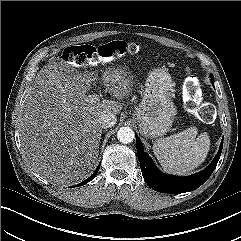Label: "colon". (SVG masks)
Here are the masks:
<instances>
[{"instance_id": "colon-1", "label": "colon", "mask_w": 241, "mask_h": 241, "mask_svg": "<svg viewBox=\"0 0 241 241\" xmlns=\"http://www.w3.org/2000/svg\"><path fill=\"white\" fill-rule=\"evenodd\" d=\"M139 46L136 43L112 41L101 46L80 45L68 47L62 54V60L74 67H87L106 63L126 53H136ZM185 107L193 115L203 121L213 120L214 109L211 105L202 102L200 84L191 78L187 81L183 91Z\"/></svg>"}]
</instances>
